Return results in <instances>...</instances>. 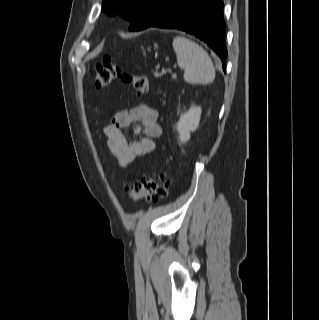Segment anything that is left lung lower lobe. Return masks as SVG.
Here are the masks:
<instances>
[{
  "mask_svg": "<svg viewBox=\"0 0 319 320\" xmlns=\"http://www.w3.org/2000/svg\"><path fill=\"white\" fill-rule=\"evenodd\" d=\"M178 29L205 42L221 59L225 71L227 50L222 0H157L129 27Z\"/></svg>",
  "mask_w": 319,
  "mask_h": 320,
  "instance_id": "left-lung-lower-lobe-1",
  "label": "left lung lower lobe"
}]
</instances>
